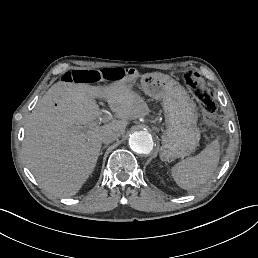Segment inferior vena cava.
I'll return each instance as SVG.
<instances>
[{
  "label": "inferior vena cava",
  "mask_w": 258,
  "mask_h": 258,
  "mask_svg": "<svg viewBox=\"0 0 258 258\" xmlns=\"http://www.w3.org/2000/svg\"><path fill=\"white\" fill-rule=\"evenodd\" d=\"M119 136H120V133L109 129L103 132L101 136V142H103L104 144H109L115 141Z\"/></svg>",
  "instance_id": "602c4592"
}]
</instances>
